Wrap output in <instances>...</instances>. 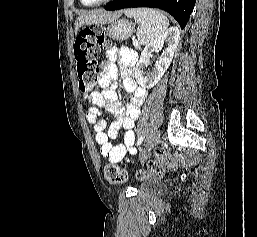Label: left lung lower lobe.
Returning <instances> with one entry per match:
<instances>
[{
	"label": "left lung lower lobe",
	"mask_w": 257,
	"mask_h": 237,
	"mask_svg": "<svg viewBox=\"0 0 257 237\" xmlns=\"http://www.w3.org/2000/svg\"><path fill=\"white\" fill-rule=\"evenodd\" d=\"M196 0H113L105 6L106 10H119L123 8L152 7L167 11L185 28Z\"/></svg>",
	"instance_id": "obj_1"
}]
</instances>
